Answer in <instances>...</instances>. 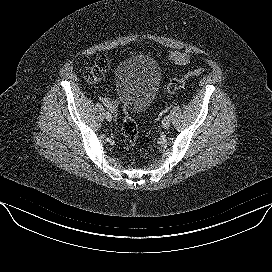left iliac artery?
<instances>
[{
  "label": "left iliac artery",
  "instance_id": "44dca946",
  "mask_svg": "<svg viewBox=\"0 0 272 272\" xmlns=\"http://www.w3.org/2000/svg\"><path fill=\"white\" fill-rule=\"evenodd\" d=\"M165 119H171V114H166Z\"/></svg>",
  "mask_w": 272,
  "mask_h": 272
}]
</instances>
